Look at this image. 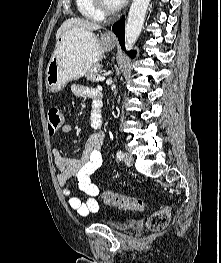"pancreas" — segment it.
Wrapping results in <instances>:
<instances>
[{"label":"pancreas","instance_id":"cf45deb5","mask_svg":"<svg viewBox=\"0 0 221 263\" xmlns=\"http://www.w3.org/2000/svg\"><path fill=\"white\" fill-rule=\"evenodd\" d=\"M101 71L100 65H94L87 73L85 74V78L92 82H97L96 77L99 75Z\"/></svg>","mask_w":221,"mask_h":263}]
</instances>
